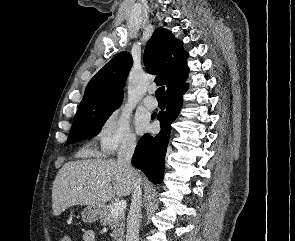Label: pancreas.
Here are the masks:
<instances>
[{
	"label": "pancreas",
	"mask_w": 295,
	"mask_h": 241,
	"mask_svg": "<svg viewBox=\"0 0 295 241\" xmlns=\"http://www.w3.org/2000/svg\"><path fill=\"white\" fill-rule=\"evenodd\" d=\"M112 207V204L105 207L100 222L103 226L109 225L113 228L111 236L114 238V241H123L125 216L124 214H120L117 217H113L111 214Z\"/></svg>",
	"instance_id": "cf45deb5"
}]
</instances>
